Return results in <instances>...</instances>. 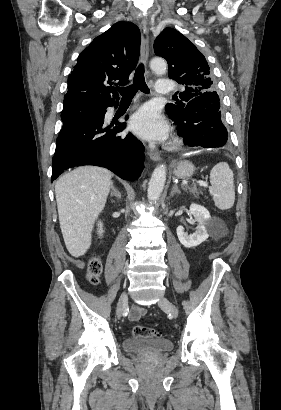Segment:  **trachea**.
<instances>
[{
  "label": "trachea",
  "instance_id": "trachea-1",
  "mask_svg": "<svg viewBox=\"0 0 281 410\" xmlns=\"http://www.w3.org/2000/svg\"><path fill=\"white\" fill-rule=\"evenodd\" d=\"M117 90L122 95V99H132L138 90L148 94L150 90L145 82L143 65H139L136 69L132 85Z\"/></svg>",
  "mask_w": 281,
  "mask_h": 410
}]
</instances>
